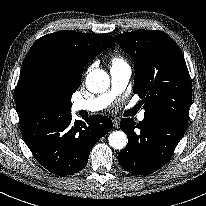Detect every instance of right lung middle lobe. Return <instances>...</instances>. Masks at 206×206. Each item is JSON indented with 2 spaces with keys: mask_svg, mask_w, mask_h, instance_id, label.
Listing matches in <instances>:
<instances>
[{
  "mask_svg": "<svg viewBox=\"0 0 206 206\" xmlns=\"http://www.w3.org/2000/svg\"><path fill=\"white\" fill-rule=\"evenodd\" d=\"M73 93L65 90L63 80L50 62L40 64L29 86L22 128L43 125L70 114Z\"/></svg>",
  "mask_w": 206,
  "mask_h": 206,
  "instance_id": "obj_1",
  "label": "right lung middle lobe"
}]
</instances>
